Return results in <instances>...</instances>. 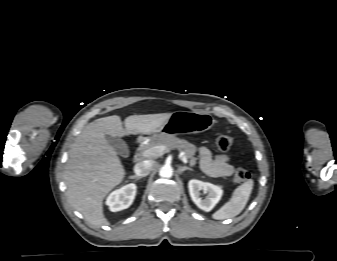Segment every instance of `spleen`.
I'll return each instance as SVG.
<instances>
[{
  "label": "spleen",
  "instance_id": "3e777b00",
  "mask_svg": "<svg viewBox=\"0 0 337 261\" xmlns=\"http://www.w3.org/2000/svg\"><path fill=\"white\" fill-rule=\"evenodd\" d=\"M254 182L249 179L242 185L238 186L232 194V197L220 209H218L212 217L216 220L233 218L240 214L245 208L250 194L253 189Z\"/></svg>",
  "mask_w": 337,
  "mask_h": 261
}]
</instances>
